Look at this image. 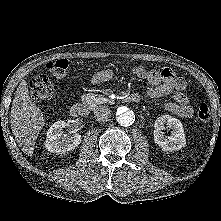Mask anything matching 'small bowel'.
<instances>
[{
    "mask_svg": "<svg viewBox=\"0 0 221 221\" xmlns=\"http://www.w3.org/2000/svg\"><path fill=\"white\" fill-rule=\"evenodd\" d=\"M132 71L153 86L147 91L149 97L171 96L172 101L163 105L165 110L182 118L193 116L194 111L187 97L188 84L185 79L176 76L169 68L147 71L142 67H135ZM113 76L114 71L112 69H102L91 77L90 83L92 85L101 84L109 81Z\"/></svg>",
    "mask_w": 221,
    "mask_h": 221,
    "instance_id": "small-bowel-1",
    "label": "small bowel"
}]
</instances>
